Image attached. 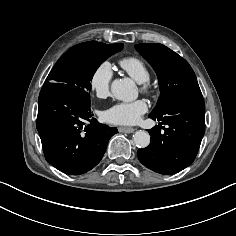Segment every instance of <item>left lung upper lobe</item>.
I'll return each mask as SVG.
<instances>
[{"label":"left lung upper lobe","mask_w":236,"mask_h":236,"mask_svg":"<svg viewBox=\"0 0 236 236\" xmlns=\"http://www.w3.org/2000/svg\"><path fill=\"white\" fill-rule=\"evenodd\" d=\"M135 48L158 76L161 94L150 115L163 114L172 102L184 95L201 93L193 69L177 53L157 43L136 44Z\"/></svg>","instance_id":"obj_1"}]
</instances>
